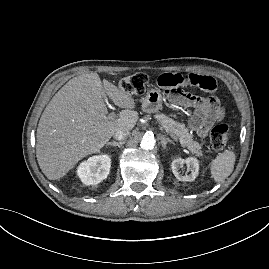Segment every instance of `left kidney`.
Listing matches in <instances>:
<instances>
[{"instance_id":"left-kidney-1","label":"left kidney","mask_w":269,"mask_h":269,"mask_svg":"<svg viewBox=\"0 0 269 269\" xmlns=\"http://www.w3.org/2000/svg\"><path fill=\"white\" fill-rule=\"evenodd\" d=\"M184 165L187 166V171L190 172L189 174H181L180 169L183 168ZM171 169L179 181H194L199 174V161L194 157H189L187 159L177 158L172 161Z\"/></svg>"}]
</instances>
